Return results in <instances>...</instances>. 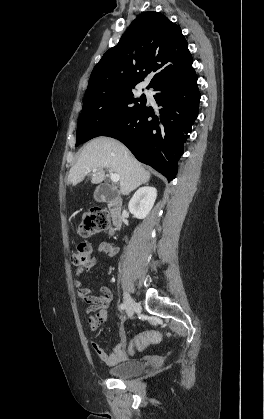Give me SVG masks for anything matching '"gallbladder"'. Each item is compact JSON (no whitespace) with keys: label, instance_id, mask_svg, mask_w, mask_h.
Masks as SVG:
<instances>
[{"label":"gallbladder","instance_id":"bac80fb5","mask_svg":"<svg viewBox=\"0 0 264 419\" xmlns=\"http://www.w3.org/2000/svg\"><path fill=\"white\" fill-rule=\"evenodd\" d=\"M108 188L106 185H100L96 188L94 192V199L98 202H101L106 195Z\"/></svg>","mask_w":264,"mask_h":419}]
</instances>
